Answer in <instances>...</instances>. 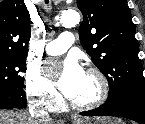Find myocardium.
Instances as JSON below:
<instances>
[{"label": "myocardium", "instance_id": "1", "mask_svg": "<svg viewBox=\"0 0 145 124\" xmlns=\"http://www.w3.org/2000/svg\"><path fill=\"white\" fill-rule=\"evenodd\" d=\"M85 73L92 75L97 79L99 84V94L94 100L82 104H78L71 101L70 99H67L66 100L67 105L71 109L79 112L90 111L100 107L109 96V83L106 76L101 70L95 67H89L85 70Z\"/></svg>", "mask_w": 145, "mask_h": 124}]
</instances>
